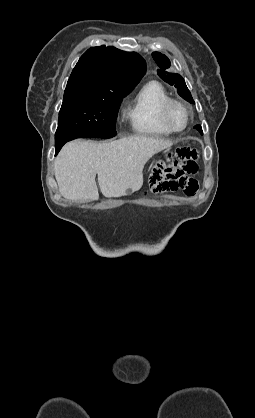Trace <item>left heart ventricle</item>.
I'll return each mask as SVG.
<instances>
[{
  "label": "left heart ventricle",
  "instance_id": "1",
  "mask_svg": "<svg viewBox=\"0 0 255 418\" xmlns=\"http://www.w3.org/2000/svg\"><path fill=\"white\" fill-rule=\"evenodd\" d=\"M169 119L174 128L181 129L186 124V112L181 106L175 105L171 109Z\"/></svg>",
  "mask_w": 255,
  "mask_h": 418
}]
</instances>
